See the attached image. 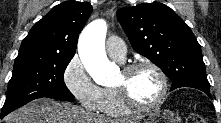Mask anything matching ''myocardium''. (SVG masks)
I'll list each match as a JSON object with an SVG mask.
<instances>
[{
	"mask_svg": "<svg viewBox=\"0 0 221 123\" xmlns=\"http://www.w3.org/2000/svg\"><path fill=\"white\" fill-rule=\"evenodd\" d=\"M143 68H149L158 75L160 79V83H161V92H160L159 97L154 103L149 104V105H143V104L136 102L132 98V96L130 95L125 85L114 86L113 88L115 92L117 93L118 97L120 98L121 102L130 111L146 112V111L157 109L165 102L167 95H168L169 84H168L167 75L157 64L151 61H140V62L130 64L122 70V73L125 76H129L133 74L134 72Z\"/></svg>",
	"mask_w": 221,
	"mask_h": 123,
	"instance_id": "myocardium-1",
	"label": "myocardium"
}]
</instances>
